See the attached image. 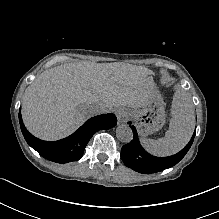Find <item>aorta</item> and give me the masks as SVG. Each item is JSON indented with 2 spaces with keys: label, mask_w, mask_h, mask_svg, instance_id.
I'll list each match as a JSON object with an SVG mask.
<instances>
[{
  "label": "aorta",
  "mask_w": 219,
  "mask_h": 219,
  "mask_svg": "<svg viewBox=\"0 0 219 219\" xmlns=\"http://www.w3.org/2000/svg\"><path fill=\"white\" fill-rule=\"evenodd\" d=\"M116 137L123 143H129L133 139L132 129L128 125L122 124L116 129Z\"/></svg>",
  "instance_id": "aorta-1"
}]
</instances>
